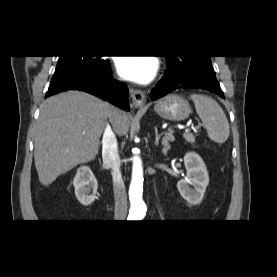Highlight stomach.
Masks as SVG:
<instances>
[{
	"mask_svg": "<svg viewBox=\"0 0 277 277\" xmlns=\"http://www.w3.org/2000/svg\"><path fill=\"white\" fill-rule=\"evenodd\" d=\"M154 110L160 117L170 121L185 120L191 113L189 102L176 94L159 99L154 105Z\"/></svg>",
	"mask_w": 277,
	"mask_h": 277,
	"instance_id": "stomach-1",
	"label": "stomach"
}]
</instances>
